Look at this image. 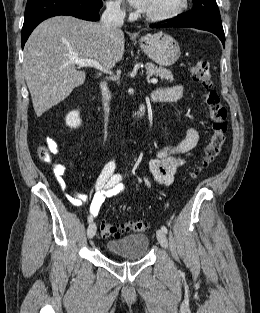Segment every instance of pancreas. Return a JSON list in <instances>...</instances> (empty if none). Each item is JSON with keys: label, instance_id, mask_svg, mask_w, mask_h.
Wrapping results in <instances>:
<instances>
[{"label": "pancreas", "instance_id": "obj_1", "mask_svg": "<svg viewBox=\"0 0 260 313\" xmlns=\"http://www.w3.org/2000/svg\"><path fill=\"white\" fill-rule=\"evenodd\" d=\"M145 68L147 70L148 75H157L161 79H165L169 82H173V80H174L171 71H169L165 68L157 67L152 63H146Z\"/></svg>", "mask_w": 260, "mask_h": 313}]
</instances>
